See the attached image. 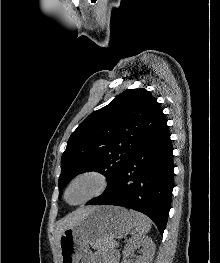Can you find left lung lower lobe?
<instances>
[{"label": "left lung lower lobe", "mask_w": 220, "mask_h": 263, "mask_svg": "<svg viewBox=\"0 0 220 263\" xmlns=\"http://www.w3.org/2000/svg\"><path fill=\"white\" fill-rule=\"evenodd\" d=\"M173 148L164 120L132 154L114 184L90 205H116L147 215L163 234L174 179Z\"/></svg>", "instance_id": "left-lung-lower-lobe-1"}]
</instances>
